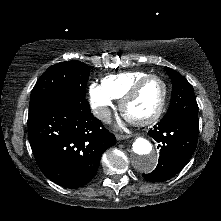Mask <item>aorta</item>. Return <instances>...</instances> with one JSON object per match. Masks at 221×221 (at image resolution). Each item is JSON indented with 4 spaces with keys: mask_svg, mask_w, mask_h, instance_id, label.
I'll return each mask as SVG.
<instances>
[{
    "mask_svg": "<svg viewBox=\"0 0 221 221\" xmlns=\"http://www.w3.org/2000/svg\"><path fill=\"white\" fill-rule=\"evenodd\" d=\"M157 161L158 156L152 144L144 137H136L132 142L133 166L140 172H151Z\"/></svg>",
    "mask_w": 221,
    "mask_h": 221,
    "instance_id": "1",
    "label": "aorta"
}]
</instances>
